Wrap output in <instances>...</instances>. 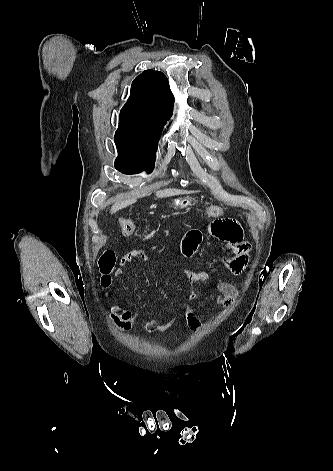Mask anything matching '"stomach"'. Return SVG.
Masks as SVG:
<instances>
[{
  "mask_svg": "<svg viewBox=\"0 0 333 471\" xmlns=\"http://www.w3.org/2000/svg\"><path fill=\"white\" fill-rule=\"evenodd\" d=\"M173 206L175 209H184L192 206V199L189 197H178L174 200Z\"/></svg>",
  "mask_w": 333,
  "mask_h": 471,
  "instance_id": "obj_1",
  "label": "stomach"
}]
</instances>
